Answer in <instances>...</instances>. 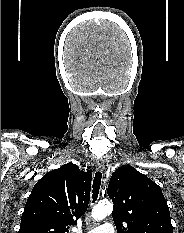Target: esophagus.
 I'll return each instance as SVG.
<instances>
[{"mask_svg": "<svg viewBox=\"0 0 184 233\" xmlns=\"http://www.w3.org/2000/svg\"><path fill=\"white\" fill-rule=\"evenodd\" d=\"M96 168L99 171H102L104 169V161L99 159L96 161Z\"/></svg>", "mask_w": 184, "mask_h": 233, "instance_id": "1", "label": "esophagus"}]
</instances>
